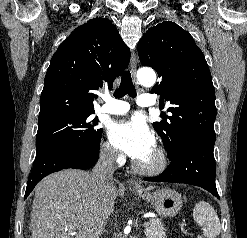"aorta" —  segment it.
Returning a JSON list of instances; mask_svg holds the SVG:
<instances>
[{
  "label": "aorta",
  "mask_w": 247,
  "mask_h": 238,
  "mask_svg": "<svg viewBox=\"0 0 247 238\" xmlns=\"http://www.w3.org/2000/svg\"><path fill=\"white\" fill-rule=\"evenodd\" d=\"M139 82L147 87H151L156 82V74L152 69L142 68L137 72Z\"/></svg>",
  "instance_id": "aorta-1"
}]
</instances>
